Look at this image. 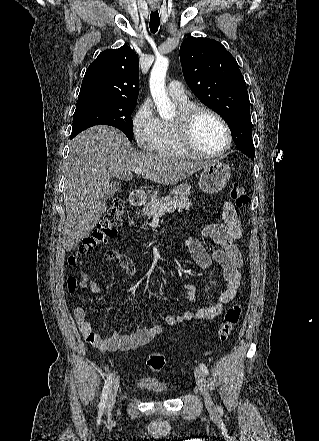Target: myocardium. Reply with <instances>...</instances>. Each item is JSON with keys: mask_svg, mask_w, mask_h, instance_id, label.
<instances>
[{"mask_svg": "<svg viewBox=\"0 0 319 441\" xmlns=\"http://www.w3.org/2000/svg\"><path fill=\"white\" fill-rule=\"evenodd\" d=\"M201 114H208L214 117L222 125L226 133V144L218 152H204L197 148L193 142V128L196 120ZM173 125L180 146L191 156L198 158H216L225 154L231 147L232 132L227 121L218 112L211 108L192 105L191 107L179 112L178 116L173 121Z\"/></svg>", "mask_w": 319, "mask_h": 441, "instance_id": "myocardium-1", "label": "myocardium"}]
</instances>
